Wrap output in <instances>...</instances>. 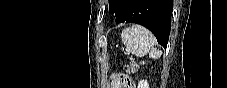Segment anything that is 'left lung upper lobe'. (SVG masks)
I'll use <instances>...</instances> for the list:
<instances>
[{
    "label": "left lung upper lobe",
    "instance_id": "1",
    "mask_svg": "<svg viewBox=\"0 0 227 88\" xmlns=\"http://www.w3.org/2000/svg\"><path fill=\"white\" fill-rule=\"evenodd\" d=\"M118 1L119 0H109V11L111 13H116Z\"/></svg>",
    "mask_w": 227,
    "mask_h": 88
}]
</instances>
